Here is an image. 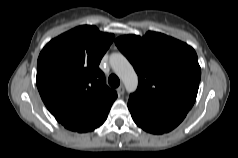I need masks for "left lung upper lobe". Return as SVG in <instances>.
<instances>
[{
  "mask_svg": "<svg viewBox=\"0 0 238 158\" xmlns=\"http://www.w3.org/2000/svg\"><path fill=\"white\" fill-rule=\"evenodd\" d=\"M115 44L138 74V88L129 101L150 111L192 108L201 78L192 47L152 31L143 37L121 36Z\"/></svg>",
  "mask_w": 238,
  "mask_h": 158,
  "instance_id": "left-lung-upper-lobe-1",
  "label": "left lung upper lobe"
}]
</instances>
